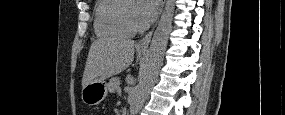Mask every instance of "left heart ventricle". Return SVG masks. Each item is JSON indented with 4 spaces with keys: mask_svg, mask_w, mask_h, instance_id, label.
<instances>
[{
    "mask_svg": "<svg viewBox=\"0 0 285 115\" xmlns=\"http://www.w3.org/2000/svg\"><path fill=\"white\" fill-rule=\"evenodd\" d=\"M128 15L132 18L133 22L137 25H141L138 21L137 13H138V5L134 2H130L129 8L127 10Z\"/></svg>",
    "mask_w": 285,
    "mask_h": 115,
    "instance_id": "1",
    "label": "left heart ventricle"
}]
</instances>
